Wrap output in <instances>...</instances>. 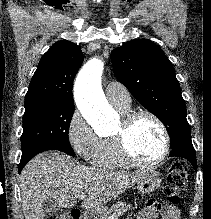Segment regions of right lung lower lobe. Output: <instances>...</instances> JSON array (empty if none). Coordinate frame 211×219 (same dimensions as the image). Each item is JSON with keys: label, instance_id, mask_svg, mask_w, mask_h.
Wrapping results in <instances>:
<instances>
[{"label": "right lung lower lobe", "instance_id": "1", "mask_svg": "<svg viewBox=\"0 0 211 219\" xmlns=\"http://www.w3.org/2000/svg\"><path fill=\"white\" fill-rule=\"evenodd\" d=\"M43 151H47V150H40V151L34 152V153H32V154H30V155H28V156L21 157V161H20L19 168H18L19 173L21 172V170L23 169V167L26 165V163H27L32 157H34L35 155H37L38 153L43 152Z\"/></svg>", "mask_w": 211, "mask_h": 219}]
</instances>
